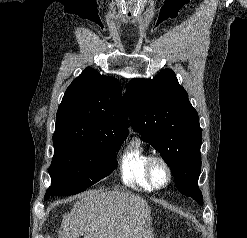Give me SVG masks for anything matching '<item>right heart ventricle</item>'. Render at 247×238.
I'll list each match as a JSON object with an SVG mask.
<instances>
[{
    "label": "right heart ventricle",
    "mask_w": 247,
    "mask_h": 238,
    "mask_svg": "<svg viewBox=\"0 0 247 238\" xmlns=\"http://www.w3.org/2000/svg\"><path fill=\"white\" fill-rule=\"evenodd\" d=\"M149 152L137 141L132 142L121 155L120 176L122 181L133 188L152 189L145 175Z\"/></svg>",
    "instance_id": "1"
}]
</instances>
